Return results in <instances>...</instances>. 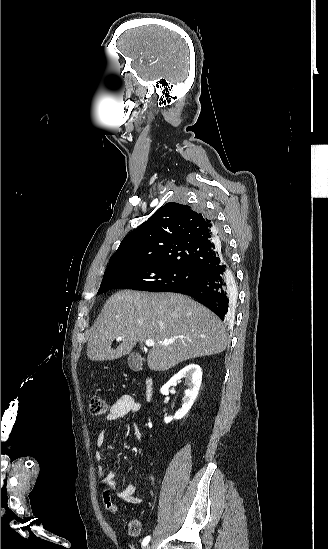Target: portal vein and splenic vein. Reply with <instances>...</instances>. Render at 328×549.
Returning <instances> with one entry per match:
<instances>
[{"label":"portal vein and splenic vein","mask_w":328,"mask_h":549,"mask_svg":"<svg viewBox=\"0 0 328 549\" xmlns=\"http://www.w3.org/2000/svg\"><path fill=\"white\" fill-rule=\"evenodd\" d=\"M124 337H117L116 341H122ZM176 339H181V337H173V339H168V341H161V345H164V347H167V345H171V343H174ZM146 347H153L155 345L154 341L152 339H148V341H145Z\"/></svg>","instance_id":"18ae733b"}]
</instances>
